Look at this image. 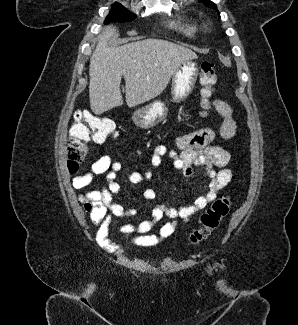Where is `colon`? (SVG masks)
I'll use <instances>...</instances> for the list:
<instances>
[{
  "instance_id": "obj_1",
  "label": "colon",
  "mask_w": 298,
  "mask_h": 325,
  "mask_svg": "<svg viewBox=\"0 0 298 325\" xmlns=\"http://www.w3.org/2000/svg\"><path fill=\"white\" fill-rule=\"evenodd\" d=\"M217 73L214 65L210 62H202L200 65L201 93L204 97V108H208V98L212 95ZM116 127L112 120L96 116L87 111H79L75 114L70 126L68 144L67 168L70 173L79 171L84 163L90 143H103L108 138L116 135ZM231 201L227 197H221L213 202L201 216V228L195 230L190 241L199 245L207 240L219 227L222 220L228 215Z\"/></svg>"
}]
</instances>
